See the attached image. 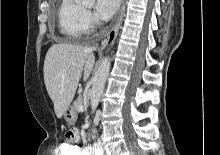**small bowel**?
Masks as SVG:
<instances>
[{
	"mask_svg": "<svg viewBox=\"0 0 220 155\" xmlns=\"http://www.w3.org/2000/svg\"><path fill=\"white\" fill-rule=\"evenodd\" d=\"M65 133L67 143L62 144L61 146H76L72 144L80 143V130H76L75 126H68ZM81 150L82 155H91V148H81Z\"/></svg>",
	"mask_w": 220,
	"mask_h": 155,
	"instance_id": "small-bowel-1",
	"label": "small bowel"
}]
</instances>
